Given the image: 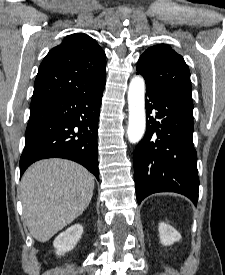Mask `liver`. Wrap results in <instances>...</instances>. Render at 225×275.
<instances>
[{"label":"liver","instance_id":"liver-1","mask_svg":"<svg viewBox=\"0 0 225 275\" xmlns=\"http://www.w3.org/2000/svg\"><path fill=\"white\" fill-rule=\"evenodd\" d=\"M94 177L83 166L63 159L40 160L21 179L23 214L30 234L46 242L89 205Z\"/></svg>","mask_w":225,"mask_h":275}]
</instances>
